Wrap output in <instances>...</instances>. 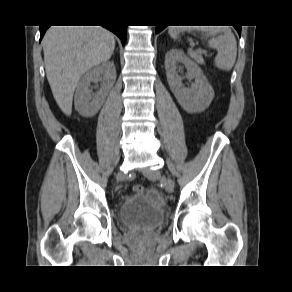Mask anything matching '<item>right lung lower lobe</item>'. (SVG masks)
Wrapping results in <instances>:
<instances>
[{
  "instance_id": "obj_1",
  "label": "right lung lower lobe",
  "mask_w": 292,
  "mask_h": 292,
  "mask_svg": "<svg viewBox=\"0 0 292 292\" xmlns=\"http://www.w3.org/2000/svg\"><path fill=\"white\" fill-rule=\"evenodd\" d=\"M105 28L109 29L113 33H115L122 41V44L126 41V30L127 26L125 25H104ZM48 27L40 26V40L43 38Z\"/></svg>"
}]
</instances>
